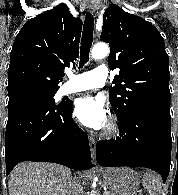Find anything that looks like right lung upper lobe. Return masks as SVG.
Wrapping results in <instances>:
<instances>
[{
	"instance_id": "cb5924a9",
	"label": "right lung upper lobe",
	"mask_w": 178,
	"mask_h": 195,
	"mask_svg": "<svg viewBox=\"0 0 178 195\" xmlns=\"http://www.w3.org/2000/svg\"><path fill=\"white\" fill-rule=\"evenodd\" d=\"M81 29L82 20L65 4L26 22L10 53L9 97L29 90H58L63 69L79 56Z\"/></svg>"
}]
</instances>
